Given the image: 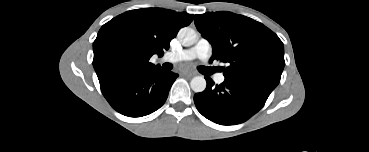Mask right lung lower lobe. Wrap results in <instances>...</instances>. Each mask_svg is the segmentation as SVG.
<instances>
[{
  "label": "right lung lower lobe",
  "instance_id": "right-lung-lower-lobe-1",
  "mask_svg": "<svg viewBox=\"0 0 369 152\" xmlns=\"http://www.w3.org/2000/svg\"><path fill=\"white\" fill-rule=\"evenodd\" d=\"M177 74L162 68L125 75L101 87L109 104L119 113L129 117H141L159 109Z\"/></svg>",
  "mask_w": 369,
  "mask_h": 152
}]
</instances>
